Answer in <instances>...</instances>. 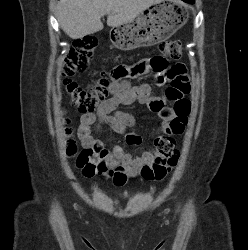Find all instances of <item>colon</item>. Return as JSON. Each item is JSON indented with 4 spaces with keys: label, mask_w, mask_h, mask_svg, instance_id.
Wrapping results in <instances>:
<instances>
[{
    "label": "colon",
    "mask_w": 248,
    "mask_h": 250,
    "mask_svg": "<svg viewBox=\"0 0 248 250\" xmlns=\"http://www.w3.org/2000/svg\"><path fill=\"white\" fill-rule=\"evenodd\" d=\"M97 42L93 37H87L76 41L66 56L63 64V85L67 95L73 105L84 113H92L101 106L109 91L111 76L108 72L102 71L98 74L95 81L88 87L84 88L71 77L77 73L84 72L93 57ZM159 50L164 57H156L153 64L157 69L156 81L163 84L173 75L165 76L162 74V63L166 59H179L182 56V45L177 40H166L159 44ZM166 95L169 101L180 100V95L169 86L166 89ZM156 107H162L163 103H155ZM180 108V107H179ZM156 158L151 166H146L143 173L150 179H162L166 176L169 169L176 166L180 153L176 147L175 139L169 135H163L155 140ZM66 152L70 157L77 155V166L87 167L96 171L94 161L97 158L92 149H83L78 151L76 142L70 140L67 144Z\"/></svg>",
    "instance_id": "1"
}]
</instances>
